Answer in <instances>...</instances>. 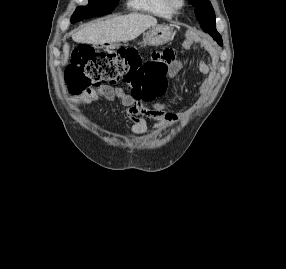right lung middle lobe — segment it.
Returning <instances> with one entry per match:
<instances>
[{
    "mask_svg": "<svg viewBox=\"0 0 286 269\" xmlns=\"http://www.w3.org/2000/svg\"><path fill=\"white\" fill-rule=\"evenodd\" d=\"M119 0H89L88 6H80L71 18V23H76L84 18L100 16L111 13Z\"/></svg>",
    "mask_w": 286,
    "mask_h": 269,
    "instance_id": "1",
    "label": "right lung middle lobe"
}]
</instances>
